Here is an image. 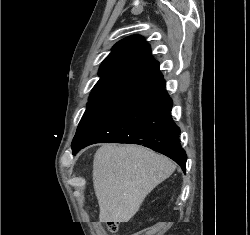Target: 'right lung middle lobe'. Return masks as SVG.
<instances>
[{
	"label": "right lung middle lobe",
	"instance_id": "obj_1",
	"mask_svg": "<svg viewBox=\"0 0 250 235\" xmlns=\"http://www.w3.org/2000/svg\"><path fill=\"white\" fill-rule=\"evenodd\" d=\"M131 96L112 95L89 97L87 109L78 125L72 145L78 143L91 129L114 112Z\"/></svg>",
	"mask_w": 250,
	"mask_h": 235
}]
</instances>
